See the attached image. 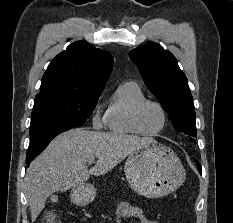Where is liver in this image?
I'll return each instance as SVG.
<instances>
[{
    "instance_id": "obj_1",
    "label": "liver",
    "mask_w": 233,
    "mask_h": 223,
    "mask_svg": "<svg viewBox=\"0 0 233 223\" xmlns=\"http://www.w3.org/2000/svg\"><path fill=\"white\" fill-rule=\"evenodd\" d=\"M88 129L76 127L60 133L31 161L25 175V191L32 221L54 191L77 187L91 175H105L144 143H156L153 137ZM89 163L95 165L88 169Z\"/></svg>"
}]
</instances>
